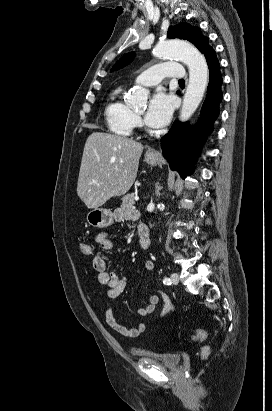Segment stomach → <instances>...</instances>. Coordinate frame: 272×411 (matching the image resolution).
<instances>
[{
  "mask_svg": "<svg viewBox=\"0 0 272 411\" xmlns=\"http://www.w3.org/2000/svg\"><path fill=\"white\" fill-rule=\"evenodd\" d=\"M145 161L154 166L158 162V158L154 155L145 154ZM87 222L96 228L108 227L113 223V213L106 208H94L87 214Z\"/></svg>",
  "mask_w": 272,
  "mask_h": 411,
  "instance_id": "obj_1",
  "label": "stomach"
}]
</instances>
